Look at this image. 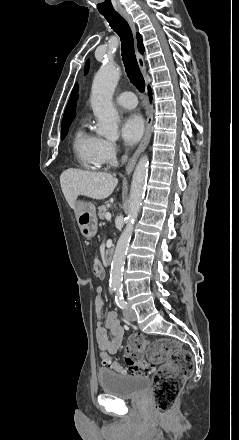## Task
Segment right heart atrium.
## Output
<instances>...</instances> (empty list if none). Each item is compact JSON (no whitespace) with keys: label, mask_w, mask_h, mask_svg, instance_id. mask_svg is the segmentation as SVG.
Wrapping results in <instances>:
<instances>
[{"label":"right heart atrium","mask_w":239,"mask_h":440,"mask_svg":"<svg viewBox=\"0 0 239 440\" xmlns=\"http://www.w3.org/2000/svg\"><path fill=\"white\" fill-rule=\"evenodd\" d=\"M99 154L106 165H112L117 156V145L106 139H100L98 141Z\"/></svg>","instance_id":"obj_1"}]
</instances>
